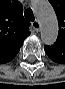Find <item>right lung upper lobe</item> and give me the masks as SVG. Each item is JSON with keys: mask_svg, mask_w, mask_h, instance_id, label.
<instances>
[{"mask_svg": "<svg viewBox=\"0 0 65 89\" xmlns=\"http://www.w3.org/2000/svg\"><path fill=\"white\" fill-rule=\"evenodd\" d=\"M29 25L18 0H0V57L7 59L19 52L25 38L30 35Z\"/></svg>", "mask_w": 65, "mask_h": 89, "instance_id": "obj_1", "label": "right lung upper lobe"}]
</instances>
